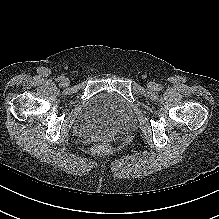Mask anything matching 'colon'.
<instances>
[{
    "mask_svg": "<svg viewBox=\"0 0 219 219\" xmlns=\"http://www.w3.org/2000/svg\"><path fill=\"white\" fill-rule=\"evenodd\" d=\"M110 151L109 145L105 143L95 144L92 148V152L96 155H105Z\"/></svg>",
    "mask_w": 219,
    "mask_h": 219,
    "instance_id": "5ec220e1",
    "label": "colon"
}]
</instances>
